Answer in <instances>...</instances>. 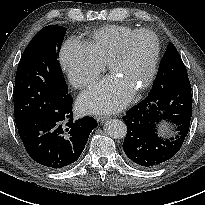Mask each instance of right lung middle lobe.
Returning <instances> with one entry per match:
<instances>
[{"label":"right lung middle lobe","instance_id":"right-lung-middle-lobe-1","mask_svg":"<svg viewBox=\"0 0 205 205\" xmlns=\"http://www.w3.org/2000/svg\"><path fill=\"white\" fill-rule=\"evenodd\" d=\"M65 33V27L46 26L24 50L13 91L17 127L41 108L69 95L57 60Z\"/></svg>","mask_w":205,"mask_h":205}]
</instances>
